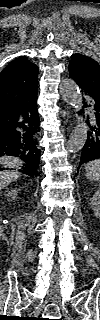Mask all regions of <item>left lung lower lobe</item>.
<instances>
[{"instance_id": "0a47b994", "label": "left lung lower lobe", "mask_w": 100, "mask_h": 320, "mask_svg": "<svg viewBox=\"0 0 100 320\" xmlns=\"http://www.w3.org/2000/svg\"><path fill=\"white\" fill-rule=\"evenodd\" d=\"M79 87L84 95L90 97V103L94 107V116L90 123H88L89 131L87 133V140L82 149L79 162V165H82L83 163L100 159V98L90 94L81 86ZM85 106H87V103H85Z\"/></svg>"}]
</instances>
